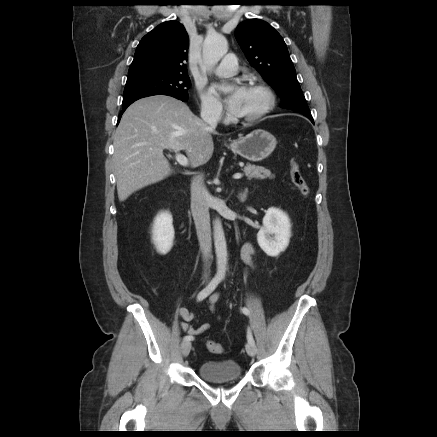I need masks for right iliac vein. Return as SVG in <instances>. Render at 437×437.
<instances>
[{
	"mask_svg": "<svg viewBox=\"0 0 437 437\" xmlns=\"http://www.w3.org/2000/svg\"><path fill=\"white\" fill-rule=\"evenodd\" d=\"M190 350H191V342H190V341H184V342L181 344V352H182V355H183L184 357H187V356L189 355V353H190Z\"/></svg>",
	"mask_w": 437,
	"mask_h": 437,
	"instance_id": "obj_1",
	"label": "right iliac vein"
}]
</instances>
